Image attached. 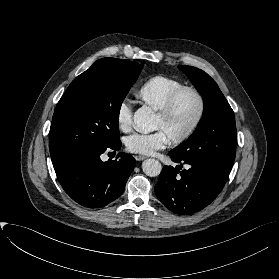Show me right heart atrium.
I'll use <instances>...</instances> for the list:
<instances>
[{"label": "right heart atrium", "mask_w": 279, "mask_h": 279, "mask_svg": "<svg viewBox=\"0 0 279 279\" xmlns=\"http://www.w3.org/2000/svg\"><path fill=\"white\" fill-rule=\"evenodd\" d=\"M116 122L120 130L124 132L131 129L133 123V107L128 100H123L118 105Z\"/></svg>", "instance_id": "d8ad5b80"}]
</instances>
